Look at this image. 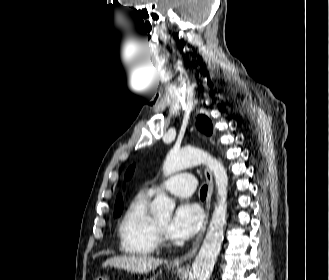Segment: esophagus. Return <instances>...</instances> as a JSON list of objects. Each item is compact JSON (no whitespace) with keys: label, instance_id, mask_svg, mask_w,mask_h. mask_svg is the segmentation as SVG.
I'll return each instance as SVG.
<instances>
[{"label":"esophagus","instance_id":"esophagus-1","mask_svg":"<svg viewBox=\"0 0 329 280\" xmlns=\"http://www.w3.org/2000/svg\"><path fill=\"white\" fill-rule=\"evenodd\" d=\"M205 176L208 181V193H207V200H206L205 220H204L203 226H202L201 231L198 234L195 242L193 243L191 250L187 254L176 258L173 261L174 265H180V264L184 263L185 261L191 260L195 256L196 252L198 251L200 244L202 242L203 236L205 234L206 226L208 223L209 211H210L211 197H212V193H213V177H212L211 171L207 167L205 168Z\"/></svg>","mask_w":329,"mask_h":280}]
</instances>
